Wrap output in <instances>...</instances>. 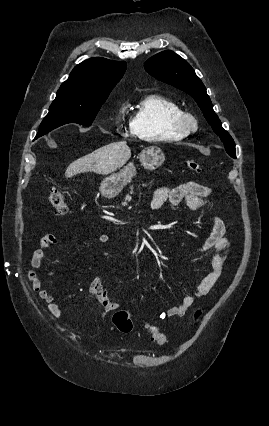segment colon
<instances>
[{
  "instance_id": "obj_1",
  "label": "colon",
  "mask_w": 269,
  "mask_h": 426,
  "mask_svg": "<svg viewBox=\"0 0 269 426\" xmlns=\"http://www.w3.org/2000/svg\"><path fill=\"white\" fill-rule=\"evenodd\" d=\"M187 167L192 171H199L200 164L195 159H188L186 161ZM49 202L54 209L55 213L58 215H66L69 211L67 205V199L64 193L59 188H53L49 195ZM29 277L34 278V274L30 273ZM201 314L200 311H197L195 316L199 317ZM113 324L116 329L120 332H131L133 329L132 318L126 310H118L113 314ZM150 341L155 345H163L166 343V336L157 329L150 330Z\"/></svg>"
}]
</instances>
